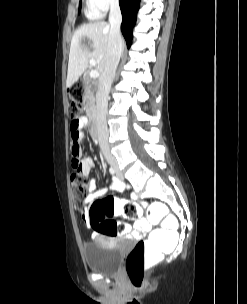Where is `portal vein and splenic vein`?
Listing matches in <instances>:
<instances>
[{
    "instance_id": "1",
    "label": "portal vein and splenic vein",
    "mask_w": 247,
    "mask_h": 304,
    "mask_svg": "<svg viewBox=\"0 0 247 304\" xmlns=\"http://www.w3.org/2000/svg\"><path fill=\"white\" fill-rule=\"evenodd\" d=\"M90 66H95L96 65V60L91 58L89 60ZM90 78H97L99 76V72L97 70H91L90 74H89Z\"/></svg>"
}]
</instances>
